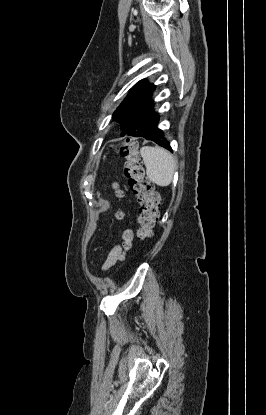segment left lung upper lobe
I'll use <instances>...</instances> for the list:
<instances>
[{"label": "left lung upper lobe", "instance_id": "1", "mask_svg": "<svg viewBox=\"0 0 266 415\" xmlns=\"http://www.w3.org/2000/svg\"><path fill=\"white\" fill-rule=\"evenodd\" d=\"M155 85L139 81L113 114L120 122L122 134L139 136L158 129V114L154 112L151 99Z\"/></svg>", "mask_w": 266, "mask_h": 415}]
</instances>
